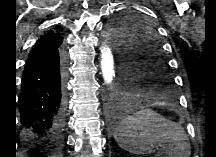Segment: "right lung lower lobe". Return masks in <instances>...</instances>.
<instances>
[{
  "label": "right lung lower lobe",
  "instance_id": "98d812e1",
  "mask_svg": "<svg viewBox=\"0 0 216 157\" xmlns=\"http://www.w3.org/2000/svg\"><path fill=\"white\" fill-rule=\"evenodd\" d=\"M64 107V63L55 51L23 72L19 114L26 157H58Z\"/></svg>",
  "mask_w": 216,
  "mask_h": 157
}]
</instances>
